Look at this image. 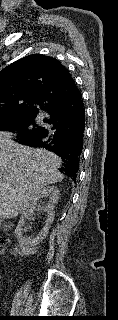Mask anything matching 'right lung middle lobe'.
Instances as JSON below:
<instances>
[{"label": "right lung middle lobe", "instance_id": "right-lung-middle-lobe-1", "mask_svg": "<svg viewBox=\"0 0 118 320\" xmlns=\"http://www.w3.org/2000/svg\"><path fill=\"white\" fill-rule=\"evenodd\" d=\"M35 117L2 118L0 119V131L12 132L16 140L37 133L41 127L35 121Z\"/></svg>", "mask_w": 118, "mask_h": 320}]
</instances>
